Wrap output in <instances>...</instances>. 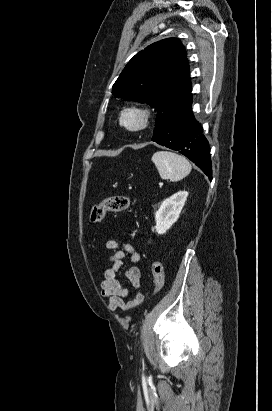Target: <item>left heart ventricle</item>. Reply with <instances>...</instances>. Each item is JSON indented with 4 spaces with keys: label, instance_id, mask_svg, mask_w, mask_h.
<instances>
[{
    "label": "left heart ventricle",
    "instance_id": "left-heart-ventricle-1",
    "mask_svg": "<svg viewBox=\"0 0 272 411\" xmlns=\"http://www.w3.org/2000/svg\"><path fill=\"white\" fill-rule=\"evenodd\" d=\"M129 120H130V122H135V118H133V117H131Z\"/></svg>",
    "mask_w": 272,
    "mask_h": 411
}]
</instances>
